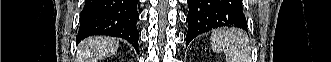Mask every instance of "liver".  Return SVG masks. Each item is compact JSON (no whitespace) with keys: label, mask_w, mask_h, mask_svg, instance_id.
Instances as JSON below:
<instances>
[{"label":"liver","mask_w":331,"mask_h":62,"mask_svg":"<svg viewBox=\"0 0 331 62\" xmlns=\"http://www.w3.org/2000/svg\"><path fill=\"white\" fill-rule=\"evenodd\" d=\"M119 48V41L112 37L94 36L83 40L78 47L79 62H98L113 55Z\"/></svg>","instance_id":"obj_1"}]
</instances>
